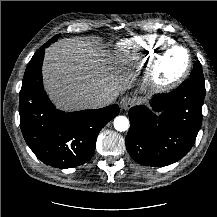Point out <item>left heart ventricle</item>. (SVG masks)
<instances>
[{
	"instance_id": "b2bd125f",
	"label": "left heart ventricle",
	"mask_w": 217,
	"mask_h": 217,
	"mask_svg": "<svg viewBox=\"0 0 217 217\" xmlns=\"http://www.w3.org/2000/svg\"><path fill=\"white\" fill-rule=\"evenodd\" d=\"M186 62L187 57L184 51H172L162 63L160 79L168 80L172 78L185 67Z\"/></svg>"
}]
</instances>
